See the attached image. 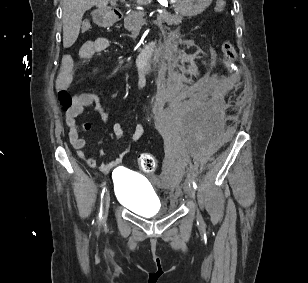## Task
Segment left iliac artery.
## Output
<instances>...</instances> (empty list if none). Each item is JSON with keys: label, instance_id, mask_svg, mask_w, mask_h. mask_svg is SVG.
Here are the masks:
<instances>
[{"label": "left iliac artery", "instance_id": "1", "mask_svg": "<svg viewBox=\"0 0 308 283\" xmlns=\"http://www.w3.org/2000/svg\"><path fill=\"white\" fill-rule=\"evenodd\" d=\"M191 182H192L193 187L196 189L197 188V184H196V182L194 180V176H193V178L191 177Z\"/></svg>", "mask_w": 308, "mask_h": 283}]
</instances>
